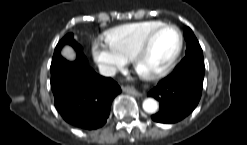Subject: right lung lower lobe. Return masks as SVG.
<instances>
[{
    "label": "right lung lower lobe",
    "instance_id": "1",
    "mask_svg": "<svg viewBox=\"0 0 247 145\" xmlns=\"http://www.w3.org/2000/svg\"><path fill=\"white\" fill-rule=\"evenodd\" d=\"M50 70L55 106L63 119L82 129L103 126L112 100L121 92L118 84L96 74L80 51L74 62L53 58Z\"/></svg>",
    "mask_w": 247,
    "mask_h": 145
}]
</instances>
